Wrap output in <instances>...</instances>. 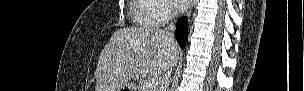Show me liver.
I'll use <instances>...</instances> for the list:
<instances>
[{"label":"liver","mask_w":304,"mask_h":91,"mask_svg":"<svg viewBox=\"0 0 304 91\" xmlns=\"http://www.w3.org/2000/svg\"><path fill=\"white\" fill-rule=\"evenodd\" d=\"M180 48L164 30L119 29L102 50L95 73V91H120L135 77H158L178 61Z\"/></svg>","instance_id":"1"}]
</instances>
